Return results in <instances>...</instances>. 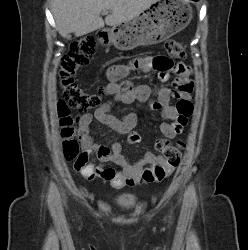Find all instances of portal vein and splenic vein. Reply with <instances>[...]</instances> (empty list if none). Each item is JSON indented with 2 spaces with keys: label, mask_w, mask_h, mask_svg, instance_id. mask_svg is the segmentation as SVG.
Here are the masks:
<instances>
[{
  "label": "portal vein and splenic vein",
  "mask_w": 248,
  "mask_h": 250,
  "mask_svg": "<svg viewBox=\"0 0 248 250\" xmlns=\"http://www.w3.org/2000/svg\"><path fill=\"white\" fill-rule=\"evenodd\" d=\"M102 13H103L104 15H106V14H108V11H103Z\"/></svg>",
  "instance_id": "portal-vein-and-splenic-vein-1"
}]
</instances>
